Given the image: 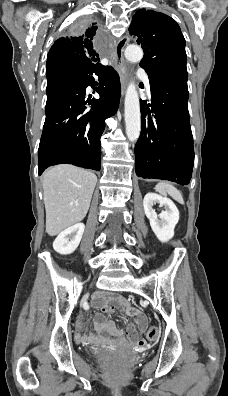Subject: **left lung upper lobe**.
I'll return each mask as SVG.
<instances>
[{"label":"left lung upper lobe","instance_id":"left-lung-upper-lobe-1","mask_svg":"<svg viewBox=\"0 0 228 396\" xmlns=\"http://www.w3.org/2000/svg\"><path fill=\"white\" fill-rule=\"evenodd\" d=\"M129 33L144 51L140 66L147 73H166L187 84L185 39L174 19L140 9L132 18Z\"/></svg>","mask_w":228,"mask_h":396}]
</instances>
